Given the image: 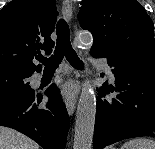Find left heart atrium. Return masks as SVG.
<instances>
[{"instance_id":"left-heart-atrium-1","label":"left heart atrium","mask_w":155,"mask_h":149,"mask_svg":"<svg viewBox=\"0 0 155 149\" xmlns=\"http://www.w3.org/2000/svg\"><path fill=\"white\" fill-rule=\"evenodd\" d=\"M65 94H73L74 93V89L73 87L69 86L65 89L64 91Z\"/></svg>"}]
</instances>
